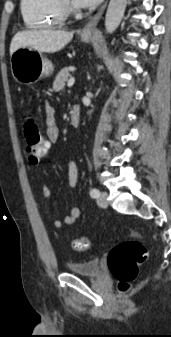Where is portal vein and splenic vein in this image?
<instances>
[{
  "instance_id": "obj_1",
  "label": "portal vein and splenic vein",
  "mask_w": 171,
  "mask_h": 337,
  "mask_svg": "<svg viewBox=\"0 0 171 337\" xmlns=\"http://www.w3.org/2000/svg\"><path fill=\"white\" fill-rule=\"evenodd\" d=\"M74 82H75V78H74V77H71V78L68 80L67 86H68V87L73 86Z\"/></svg>"
}]
</instances>
